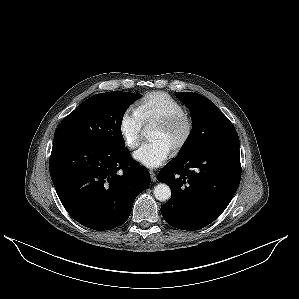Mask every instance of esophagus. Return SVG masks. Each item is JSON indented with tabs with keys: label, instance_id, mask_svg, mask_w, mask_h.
I'll use <instances>...</instances> for the list:
<instances>
[{
	"label": "esophagus",
	"instance_id": "34e87169",
	"mask_svg": "<svg viewBox=\"0 0 299 299\" xmlns=\"http://www.w3.org/2000/svg\"><path fill=\"white\" fill-rule=\"evenodd\" d=\"M149 174H150L151 180L153 182H155L157 180V176H156L155 172L154 171H149Z\"/></svg>",
	"mask_w": 299,
	"mask_h": 299
}]
</instances>
